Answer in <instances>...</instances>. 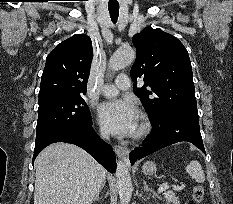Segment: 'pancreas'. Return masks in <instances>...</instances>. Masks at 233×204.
I'll return each mask as SVG.
<instances>
[{
    "label": "pancreas",
    "mask_w": 233,
    "mask_h": 204,
    "mask_svg": "<svg viewBox=\"0 0 233 204\" xmlns=\"http://www.w3.org/2000/svg\"><path fill=\"white\" fill-rule=\"evenodd\" d=\"M163 197L164 199L167 201V204L173 203V204H180L179 202V198L176 196V194L171 191L168 190L166 192L163 193Z\"/></svg>",
    "instance_id": "obj_1"
}]
</instances>
